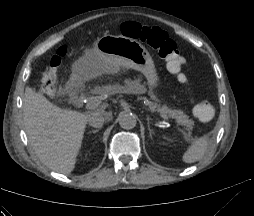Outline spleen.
<instances>
[{
  "label": "spleen",
  "mask_w": 254,
  "mask_h": 216,
  "mask_svg": "<svg viewBox=\"0 0 254 216\" xmlns=\"http://www.w3.org/2000/svg\"><path fill=\"white\" fill-rule=\"evenodd\" d=\"M209 146V136L204 135L196 138L188 149L184 152L182 160L185 163H194L201 160L207 152Z\"/></svg>",
  "instance_id": "spleen-1"
}]
</instances>
